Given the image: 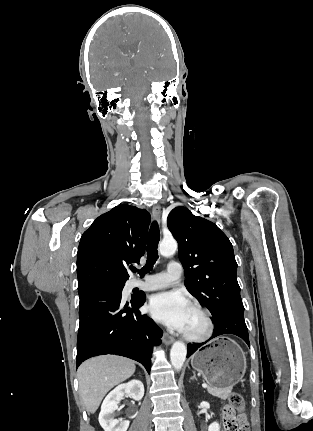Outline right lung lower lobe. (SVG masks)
<instances>
[{"mask_svg": "<svg viewBox=\"0 0 313 431\" xmlns=\"http://www.w3.org/2000/svg\"><path fill=\"white\" fill-rule=\"evenodd\" d=\"M122 290L97 286L79 292L76 368L93 356L115 354L140 362L150 372L152 348L163 331L138 310L145 295L124 302Z\"/></svg>", "mask_w": 313, "mask_h": 431, "instance_id": "obj_1", "label": "right lung lower lobe"}]
</instances>
